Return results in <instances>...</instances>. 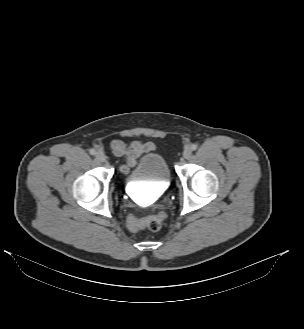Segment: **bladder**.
<instances>
[{
  "label": "bladder",
  "mask_w": 304,
  "mask_h": 329,
  "mask_svg": "<svg viewBox=\"0 0 304 329\" xmlns=\"http://www.w3.org/2000/svg\"><path fill=\"white\" fill-rule=\"evenodd\" d=\"M171 180L170 168L165 158L157 153H147L141 156L132 167L127 179V186L139 182L168 184Z\"/></svg>",
  "instance_id": "obj_1"
}]
</instances>
